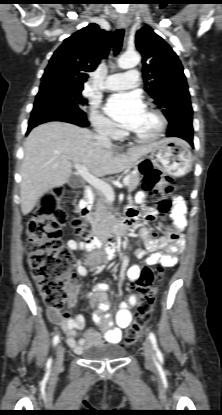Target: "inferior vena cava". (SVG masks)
<instances>
[{"instance_id": "1", "label": "inferior vena cava", "mask_w": 222, "mask_h": 415, "mask_svg": "<svg viewBox=\"0 0 222 415\" xmlns=\"http://www.w3.org/2000/svg\"><path fill=\"white\" fill-rule=\"evenodd\" d=\"M98 134L94 136V138L103 145H111V140L109 137V128L107 126L100 127L97 129ZM101 212V204L100 202L96 205V216L100 215ZM100 254L105 256V252L101 251Z\"/></svg>"}]
</instances>
